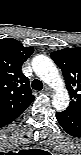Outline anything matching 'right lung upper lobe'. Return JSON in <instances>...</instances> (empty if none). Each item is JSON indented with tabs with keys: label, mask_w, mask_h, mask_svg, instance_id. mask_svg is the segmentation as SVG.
<instances>
[{
	"label": "right lung upper lobe",
	"mask_w": 81,
	"mask_h": 155,
	"mask_svg": "<svg viewBox=\"0 0 81 155\" xmlns=\"http://www.w3.org/2000/svg\"><path fill=\"white\" fill-rule=\"evenodd\" d=\"M31 47L5 40L0 47V120L7 125L18 118L34 100L22 64L32 54Z\"/></svg>",
	"instance_id": "right-lung-upper-lobe-1"
}]
</instances>
